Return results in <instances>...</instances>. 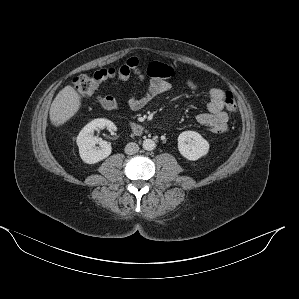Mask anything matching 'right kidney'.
<instances>
[{"label":"right kidney","instance_id":"ca27d5eb","mask_svg":"<svg viewBox=\"0 0 299 299\" xmlns=\"http://www.w3.org/2000/svg\"><path fill=\"white\" fill-rule=\"evenodd\" d=\"M107 128L116 130V126L110 120L101 118L88 123L77 136V145L81 159L87 164H95L107 158L112 151L111 145L94 136V132ZM99 144L100 147L95 145Z\"/></svg>","mask_w":299,"mask_h":299}]
</instances>
